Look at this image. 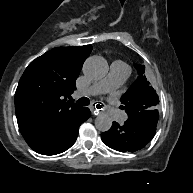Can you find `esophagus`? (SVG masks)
<instances>
[{
	"label": "esophagus",
	"instance_id": "obj_1",
	"mask_svg": "<svg viewBox=\"0 0 193 193\" xmlns=\"http://www.w3.org/2000/svg\"><path fill=\"white\" fill-rule=\"evenodd\" d=\"M91 109H92V113H93V115H99L100 114V111L98 110V109H96L95 107H91Z\"/></svg>",
	"mask_w": 193,
	"mask_h": 193
}]
</instances>
